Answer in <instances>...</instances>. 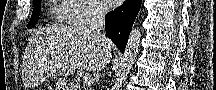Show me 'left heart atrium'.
<instances>
[{
  "label": "left heart atrium",
  "mask_w": 216,
  "mask_h": 90,
  "mask_svg": "<svg viewBox=\"0 0 216 90\" xmlns=\"http://www.w3.org/2000/svg\"><path fill=\"white\" fill-rule=\"evenodd\" d=\"M103 3H105L106 7H119L120 3L119 0H102Z\"/></svg>",
  "instance_id": "39dd6f15"
}]
</instances>
